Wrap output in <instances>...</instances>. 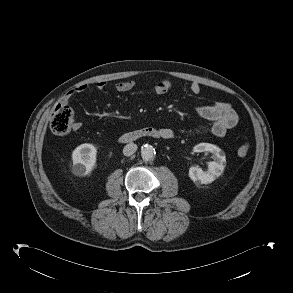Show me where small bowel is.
<instances>
[{
  "instance_id": "obj_1",
  "label": "small bowel",
  "mask_w": 293,
  "mask_h": 293,
  "mask_svg": "<svg viewBox=\"0 0 293 293\" xmlns=\"http://www.w3.org/2000/svg\"><path fill=\"white\" fill-rule=\"evenodd\" d=\"M96 89L103 90L106 87L105 82H97L95 84ZM135 87L134 81H121L115 84V90L119 93H125L132 90ZM172 88V83L169 80L162 79L155 82L153 91L157 95H162L168 92ZM88 89L87 85H80L67 92L62 103H67L75 95L81 94ZM190 91L194 95H198L201 92V87L197 82H193L190 85ZM196 112L203 118L211 120L212 126L210 128L211 134L217 137L224 136L228 130L235 127L238 122V116L233 108L225 102L216 101L212 104H199L195 106ZM74 131H78L81 128V123L75 122L72 126ZM166 139L174 136L173 130L169 128L159 129Z\"/></svg>"
}]
</instances>
